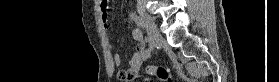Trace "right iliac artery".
Wrapping results in <instances>:
<instances>
[{"label": "right iliac artery", "mask_w": 279, "mask_h": 82, "mask_svg": "<svg viewBox=\"0 0 279 82\" xmlns=\"http://www.w3.org/2000/svg\"><path fill=\"white\" fill-rule=\"evenodd\" d=\"M130 17L138 24L139 27L144 28L145 25L142 19H140L135 13L130 14ZM140 36L142 37V39L144 38L145 41L147 42V37L144 32H140ZM150 54H151V48H147L145 51V59L149 58Z\"/></svg>", "instance_id": "82829eb1"}]
</instances>
